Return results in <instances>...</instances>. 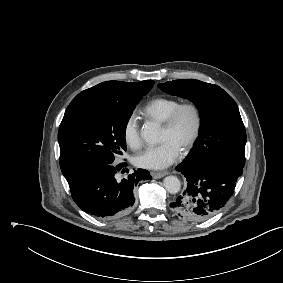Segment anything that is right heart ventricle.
<instances>
[{"instance_id": "obj_1", "label": "right heart ventricle", "mask_w": 283, "mask_h": 283, "mask_svg": "<svg viewBox=\"0 0 283 283\" xmlns=\"http://www.w3.org/2000/svg\"><path fill=\"white\" fill-rule=\"evenodd\" d=\"M179 104L177 99L156 97L141 109V113L148 119L163 124Z\"/></svg>"}]
</instances>
